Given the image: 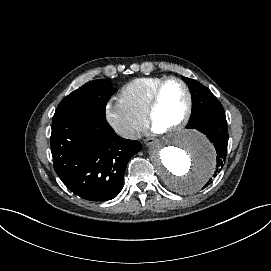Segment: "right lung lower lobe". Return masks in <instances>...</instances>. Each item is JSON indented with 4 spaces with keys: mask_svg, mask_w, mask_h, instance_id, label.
Returning a JSON list of instances; mask_svg holds the SVG:
<instances>
[{
    "mask_svg": "<svg viewBox=\"0 0 271 271\" xmlns=\"http://www.w3.org/2000/svg\"><path fill=\"white\" fill-rule=\"evenodd\" d=\"M141 149L140 142L116 135L105 116L73 112L52 122L55 172L69 190L89 201L115 198L129 159Z\"/></svg>",
    "mask_w": 271,
    "mask_h": 271,
    "instance_id": "98d812e1",
    "label": "right lung lower lobe"
}]
</instances>
